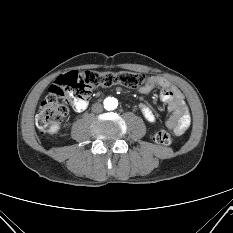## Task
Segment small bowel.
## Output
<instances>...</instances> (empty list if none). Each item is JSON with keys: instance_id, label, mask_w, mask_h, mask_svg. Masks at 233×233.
I'll return each instance as SVG.
<instances>
[{"instance_id": "obj_1", "label": "small bowel", "mask_w": 233, "mask_h": 233, "mask_svg": "<svg viewBox=\"0 0 233 233\" xmlns=\"http://www.w3.org/2000/svg\"><path fill=\"white\" fill-rule=\"evenodd\" d=\"M156 88H160V99L168 105L170 116L166 121L167 128L175 135L183 134L191 125V115L189 108L184 101L181 91L170 81L159 75H152L149 77L145 86L140 88L141 93H150ZM89 102H78L74 110L82 112L87 109ZM139 108L144 118L150 122H156V115L153 110L146 104H140Z\"/></svg>"}]
</instances>
